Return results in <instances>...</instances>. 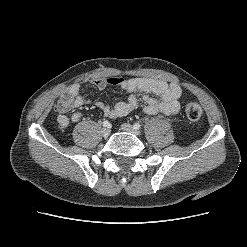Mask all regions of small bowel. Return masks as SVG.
<instances>
[{
	"label": "small bowel",
	"instance_id": "obj_1",
	"mask_svg": "<svg viewBox=\"0 0 247 247\" xmlns=\"http://www.w3.org/2000/svg\"><path fill=\"white\" fill-rule=\"evenodd\" d=\"M91 83L100 90L107 86H118L129 94L125 100L117 102L114 106H110L103 101L94 102V105L109 118L124 117L134 111L139 104L138 93L143 95L142 98L145 103L143 110L146 114L172 116L177 114L180 109L179 98L182 90L177 83L144 77L129 79L122 77L97 78L93 79ZM80 92V84L75 83L70 85L59 97L55 109L57 112L56 122L60 127L65 128L70 122H78L82 118L79 111L73 112L70 117L66 115L67 112L91 103V100L81 95Z\"/></svg>",
	"mask_w": 247,
	"mask_h": 247
}]
</instances>
